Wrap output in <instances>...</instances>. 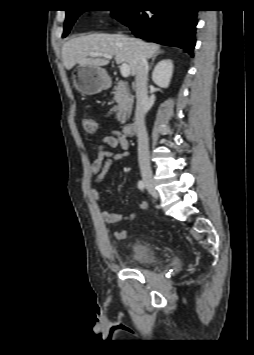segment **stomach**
<instances>
[{"mask_svg":"<svg viewBox=\"0 0 254 355\" xmlns=\"http://www.w3.org/2000/svg\"><path fill=\"white\" fill-rule=\"evenodd\" d=\"M72 81L77 90L86 95H94L110 85L106 71L93 65H79L72 72Z\"/></svg>","mask_w":254,"mask_h":355,"instance_id":"0dacf381","label":"stomach"}]
</instances>
